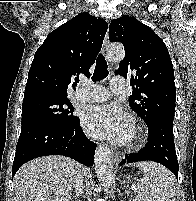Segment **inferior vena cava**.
Wrapping results in <instances>:
<instances>
[{"mask_svg": "<svg viewBox=\"0 0 196 201\" xmlns=\"http://www.w3.org/2000/svg\"><path fill=\"white\" fill-rule=\"evenodd\" d=\"M75 191H76V196H80L83 193V179L80 175V173L77 175L75 179Z\"/></svg>", "mask_w": 196, "mask_h": 201, "instance_id": "obj_1", "label": "inferior vena cava"}]
</instances>
